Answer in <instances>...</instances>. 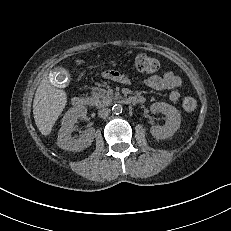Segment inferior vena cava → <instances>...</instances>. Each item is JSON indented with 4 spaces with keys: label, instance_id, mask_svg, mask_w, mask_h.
<instances>
[{
    "label": "inferior vena cava",
    "instance_id": "1",
    "mask_svg": "<svg viewBox=\"0 0 231 231\" xmlns=\"http://www.w3.org/2000/svg\"><path fill=\"white\" fill-rule=\"evenodd\" d=\"M111 110L109 108H101L98 111V116L101 118H106L110 114Z\"/></svg>",
    "mask_w": 231,
    "mask_h": 231
}]
</instances>
